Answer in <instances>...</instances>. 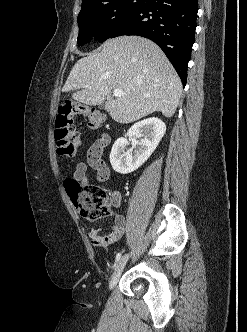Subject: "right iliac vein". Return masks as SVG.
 Wrapping results in <instances>:
<instances>
[{"mask_svg":"<svg viewBox=\"0 0 247 332\" xmlns=\"http://www.w3.org/2000/svg\"><path fill=\"white\" fill-rule=\"evenodd\" d=\"M128 259H129V255L126 254L118 261L117 265L115 266V270L112 274L111 280L109 282L110 289H113L116 286Z\"/></svg>","mask_w":247,"mask_h":332,"instance_id":"63e3f726","label":"right iliac vein"}]
</instances>
